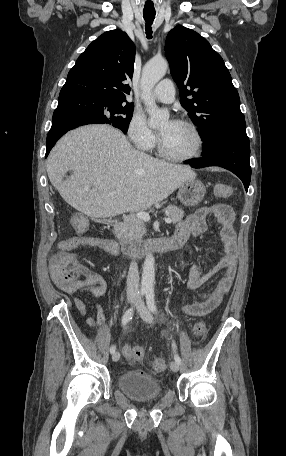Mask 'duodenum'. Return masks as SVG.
<instances>
[{
  "label": "duodenum",
  "mask_w": 286,
  "mask_h": 456,
  "mask_svg": "<svg viewBox=\"0 0 286 456\" xmlns=\"http://www.w3.org/2000/svg\"><path fill=\"white\" fill-rule=\"evenodd\" d=\"M109 225L115 237L118 239V245L124 254L144 256L152 252H163L181 248L185 243V238L173 235L167 238H157L140 242H128L120 238L119 223L113 220Z\"/></svg>",
  "instance_id": "duodenum-1"
}]
</instances>
